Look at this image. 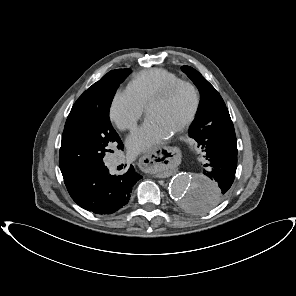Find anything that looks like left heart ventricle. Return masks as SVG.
Returning a JSON list of instances; mask_svg holds the SVG:
<instances>
[{
    "label": "left heart ventricle",
    "instance_id": "obj_1",
    "mask_svg": "<svg viewBox=\"0 0 296 296\" xmlns=\"http://www.w3.org/2000/svg\"><path fill=\"white\" fill-rule=\"evenodd\" d=\"M192 106V93L189 89L182 88L166 102L152 106L148 116L157 119L173 132L188 117Z\"/></svg>",
    "mask_w": 296,
    "mask_h": 296
}]
</instances>
